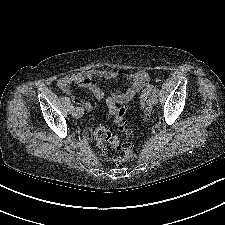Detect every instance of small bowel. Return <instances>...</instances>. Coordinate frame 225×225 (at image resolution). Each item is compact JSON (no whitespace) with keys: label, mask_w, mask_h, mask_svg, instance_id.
<instances>
[{"label":"small bowel","mask_w":225,"mask_h":225,"mask_svg":"<svg viewBox=\"0 0 225 225\" xmlns=\"http://www.w3.org/2000/svg\"><path fill=\"white\" fill-rule=\"evenodd\" d=\"M118 77L114 70L93 69L87 72L71 73L62 76L57 81V86L65 93L71 92V85L76 84L82 88L88 89L96 99H102L104 92L96 83L97 79L112 80ZM130 85L126 89L112 90L106 98L108 109L117 105H124L130 102L141 90L148 84V73L145 71H135L126 74ZM73 101L80 107V113L89 111L90 106L87 102L73 97Z\"/></svg>","instance_id":"1"}]
</instances>
